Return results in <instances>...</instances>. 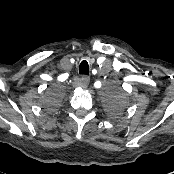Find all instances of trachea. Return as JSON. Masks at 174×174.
I'll return each instance as SVG.
<instances>
[{
    "label": "trachea",
    "instance_id": "obj_1",
    "mask_svg": "<svg viewBox=\"0 0 174 174\" xmlns=\"http://www.w3.org/2000/svg\"><path fill=\"white\" fill-rule=\"evenodd\" d=\"M79 74L89 75V65L86 60H83L79 66Z\"/></svg>",
    "mask_w": 174,
    "mask_h": 174
}]
</instances>
